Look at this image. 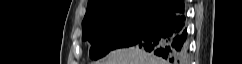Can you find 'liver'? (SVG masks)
<instances>
[{"label":"liver","instance_id":"liver-1","mask_svg":"<svg viewBox=\"0 0 242 64\" xmlns=\"http://www.w3.org/2000/svg\"><path fill=\"white\" fill-rule=\"evenodd\" d=\"M94 64H164V60L138 47H130L112 51L105 59Z\"/></svg>","mask_w":242,"mask_h":64}]
</instances>
